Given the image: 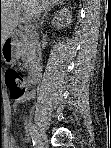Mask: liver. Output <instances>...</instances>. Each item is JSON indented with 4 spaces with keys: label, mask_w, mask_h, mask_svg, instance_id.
I'll return each mask as SVG.
<instances>
[{
    "label": "liver",
    "mask_w": 111,
    "mask_h": 148,
    "mask_svg": "<svg viewBox=\"0 0 111 148\" xmlns=\"http://www.w3.org/2000/svg\"><path fill=\"white\" fill-rule=\"evenodd\" d=\"M58 0H2L1 3V43L4 44L21 19V9L24 17L31 19L36 11L45 3L51 5Z\"/></svg>",
    "instance_id": "liver-1"
}]
</instances>
